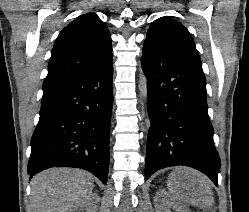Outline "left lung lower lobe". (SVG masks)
I'll return each mask as SVG.
<instances>
[{
    "instance_id": "0a47b994",
    "label": "left lung lower lobe",
    "mask_w": 249,
    "mask_h": 212,
    "mask_svg": "<svg viewBox=\"0 0 249 212\" xmlns=\"http://www.w3.org/2000/svg\"><path fill=\"white\" fill-rule=\"evenodd\" d=\"M147 77L148 131L145 177L159 169L184 165L218 183L220 158L208 117L206 81L202 68L159 51H143Z\"/></svg>"
}]
</instances>
